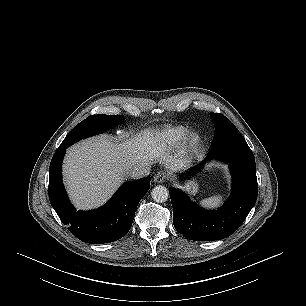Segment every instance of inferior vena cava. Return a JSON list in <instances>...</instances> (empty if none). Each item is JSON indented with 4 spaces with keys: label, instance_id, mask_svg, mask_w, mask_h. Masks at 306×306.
<instances>
[{
    "label": "inferior vena cava",
    "instance_id": "obj_1",
    "mask_svg": "<svg viewBox=\"0 0 306 306\" xmlns=\"http://www.w3.org/2000/svg\"><path fill=\"white\" fill-rule=\"evenodd\" d=\"M149 174L150 166L148 164H137L127 172V175L133 179L142 178Z\"/></svg>",
    "mask_w": 306,
    "mask_h": 306
}]
</instances>
